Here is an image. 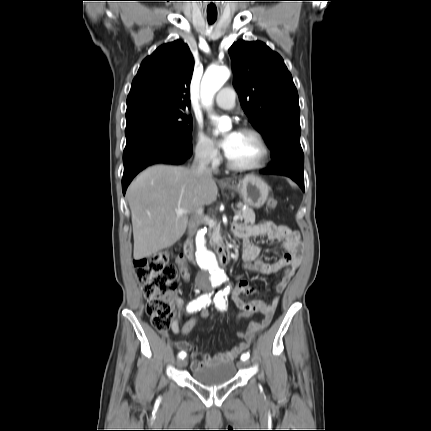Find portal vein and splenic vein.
I'll list each match as a JSON object with an SVG mask.
<instances>
[{
  "mask_svg": "<svg viewBox=\"0 0 431 431\" xmlns=\"http://www.w3.org/2000/svg\"><path fill=\"white\" fill-rule=\"evenodd\" d=\"M176 213H177L178 215H182V214L186 213V211H185V210H183V209H178V210H176ZM238 219H239V215H238V214H235V215H234V217H233V220H234V221H237Z\"/></svg>",
  "mask_w": 431,
  "mask_h": 431,
  "instance_id": "18ae733b",
  "label": "portal vein and splenic vein"
}]
</instances>
